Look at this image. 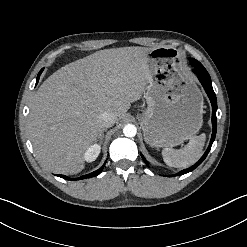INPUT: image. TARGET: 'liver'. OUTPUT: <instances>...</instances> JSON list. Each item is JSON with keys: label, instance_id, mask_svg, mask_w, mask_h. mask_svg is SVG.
Masks as SVG:
<instances>
[{"label": "liver", "instance_id": "6515ba94", "mask_svg": "<svg viewBox=\"0 0 247 247\" xmlns=\"http://www.w3.org/2000/svg\"><path fill=\"white\" fill-rule=\"evenodd\" d=\"M146 47L97 51L61 67L33 95L29 114L31 141L50 171L77 174L84 153L101 132L99 115L121 120L148 86Z\"/></svg>", "mask_w": 247, "mask_h": 247}]
</instances>
